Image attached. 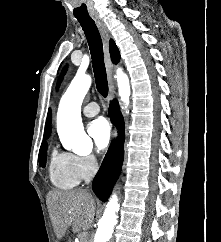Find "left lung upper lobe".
Segmentation results:
<instances>
[{
	"label": "left lung upper lobe",
	"mask_w": 221,
	"mask_h": 242,
	"mask_svg": "<svg viewBox=\"0 0 221 242\" xmlns=\"http://www.w3.org/2000/svg\"><path fill=\"white\" fill-rule=\"evenodd\" d=\"M66 70H67V67H64V69H63V71H62V74H61V76H60L59 82H58V86H59V84H60V82H61V79H62V77L64 76Z\"/></svg>",
	"instance_id": "left-lung-upper-lobe-1"
}]
</instances>
